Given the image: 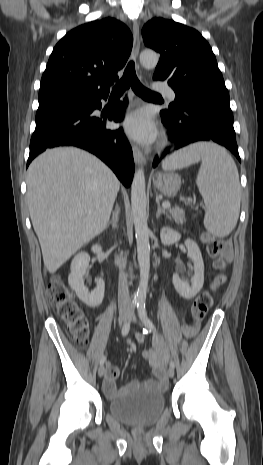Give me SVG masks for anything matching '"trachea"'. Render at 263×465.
<instances>
[{"mask_svg": "<svg viewBox=\"0 0 263 465\" xmlns=\"http://www.w3.org/2000/svg\"><path fill=\"white\" fill-rule=\"evenodd\" d=\"M131 86L133 91L143 98L160 97L158 93L152 92L145 88L139 81L136 71L135 64L130 61L124 71L122 79L113 88L111 96H121L123 92Z\"/></svg>", "mask_w": 263, "mask_h": 465, "instance_id": "1", "label": "trachea"}]
</instances>
